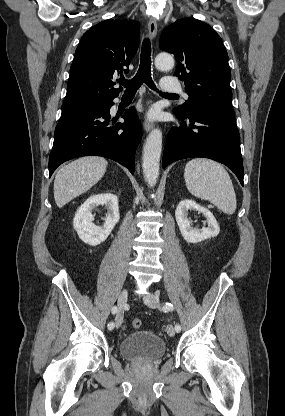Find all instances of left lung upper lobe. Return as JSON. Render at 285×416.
Segmentation results:
<instances>
[{"label":"left lung upper lobe","mask_w":285,"mask_h":416,"mask_svg":"<svg viewBox=\"0 0 285 416\" xmlns=\"http://www.w3.org/2000/svg\"><path fill=\"white\" fill-rule=\"evenodd\" d=\"M160 48L176 57L174 75L189 95L174 109L177 117L199 110L233 111L228 54L212 27L194 18L177 20L162 31Z\"/></svg>","instance_id":"5c2ea615"}]
</instances>
